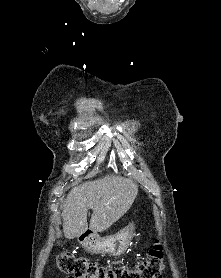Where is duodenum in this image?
<instances>
[{"label":"duodenum","mask_w":221,"mask_h":278,"mask_svg":"<svg viewBox=\"0 0 221 278\" xmlns=\"http://www.w3.org/2000/svg\"><path fill=\"white\" fill-rule=\"evenodd\" d=\"M91 232H86L81 236V241L82 242H87L89 239H91Z\"/></svg>","instance_id":"1"}]
</instances>
